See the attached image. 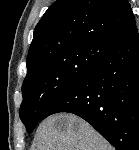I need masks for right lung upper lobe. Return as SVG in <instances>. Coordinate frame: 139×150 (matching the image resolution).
Masks as SVG:
<instances>
[{"instance_id": "obj_1", "label": "right lung upper lobe", "mask_w": 139, "mask_h": 150, "mask_svg": "<svg viewBox=\"0 0 139 150\" xmlns=\"http://www.w3.org/2000/svg\"><path fill=\"white\" fill-rule=\"evenodd\" d=\"M134 23L128 0H57L35 27L27 73L57 53L111 45Z\"/></svg>"}]
</instances>
